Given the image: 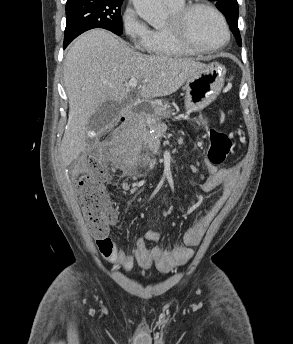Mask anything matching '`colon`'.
Here are the masks:
<instances>
[{"label":"colon","mask_w":293,"mask_h":344,"mask_svg":"<svg viewBox=\"0 0 293 344\" xmlns=\"http://www.w3.org/2000/svg\"><path fill=\"white\" fill-rule=\"evenodd\" d=\"M207 159L212 165H222L231 151L230 137L219 130L211 129L208 134ZM111 172L104 159L92 154L86 161V172L79 179L77 192L90 232L97 238L104 237L109 226L116 222L117 213L104 187Z\"/></svg>","instance_id":"obj_1"}]
</instances>
